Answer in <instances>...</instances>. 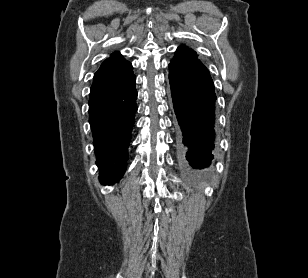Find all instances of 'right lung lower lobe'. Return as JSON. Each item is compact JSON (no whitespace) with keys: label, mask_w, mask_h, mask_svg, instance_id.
I'll use <instances>...</instances> for the list:
<instances>
[{"label":"right lung lower lobe","mask_w":308,"mask_h":278,"mask_svg":"<svg viewBox=\"0 0 308 278\" xmlns=\"http://www.w3.org/2000/svg\"><path fill=\"white\" fill-rule=\"evenodd\" d=\"M136 78L132 73L125 81L91 88L89 122L94 139L96 164L102 184H114L124 174L128 145L137 111Z\"/></svg>","instance_id":"obj_1"}]
</instances>
